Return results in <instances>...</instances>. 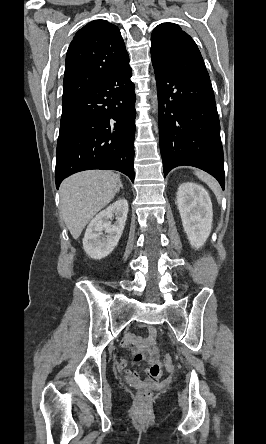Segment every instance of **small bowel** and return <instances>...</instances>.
<instances>
[{"label": "small bowel", "mask_w": 266, "mask_h": 444, "mask_svg": "<svg viewBox=\"0 0 266 444\" xmlns=\"http://www.w3.org/2000/svg\"><path fill=\"white\" fill-rule=\"evenodd\" d=\"M122 346L134 352L136 361L144 359L149 364L147 368L148 377L142 382L139 374L128 368V360L125 358L121 359L118 366L128 381L134 385H155L162 375V365L157 357L155 328L151 327L149 329V336L147 338L141 339L132 335L125 336L122 340Z\"/></svg>", "instance_id": "c3829d8e"}]
</instances>
